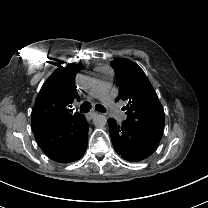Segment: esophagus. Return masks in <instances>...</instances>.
Segmentation results:
<instances>
[{
  "mask_svg": "<svg viewBox=\"0 0 208 208\" xmlns=\"http://www.w3.org/2000/svg\"><path fill=\"white\" fill-rule=\"evenodd\" d=\"M96 115H97V112L92 111V112H90V113H88V114L86 115V118H87V120H91V119H93Z\"/></svg>",
  "mask_w": 208,
  "mask_h": 208,
  "instance_id": "esophagus-1",
  "label": "esophagus"
}]
</instances>
